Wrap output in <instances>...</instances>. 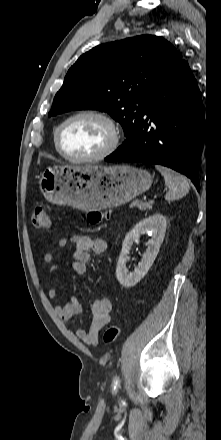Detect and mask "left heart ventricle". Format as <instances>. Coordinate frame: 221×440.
Listing matches in <instances>:
<instances>
[{"label": "left heart ventricle", "mask_w": 221, "mask_h": 440, "mask_svg": "<svg viewBox=\"0 0 221 440\" xmlns=\"http://www.w3.org/2000/svg\"><path fill=\"white\" fill-rule=\"evenodd\" d=\"M107 125L93 117H80L69 122L61 133V147L72 157H88L101 152L108 144Z\"/></svg>", "instance_id": "obj_1"}]
</instances>
